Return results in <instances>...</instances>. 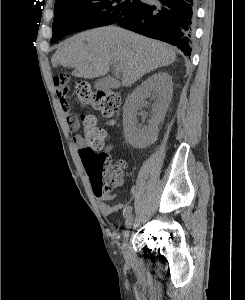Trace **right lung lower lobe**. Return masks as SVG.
I'll use <instances>...</instances> for the list:
<instances>
[{
    "instance_id": "98d812e1",
    "label": "right lung lower lobe",
    "mask_w": 245,
    "mask_h": 300,
    "mask_svg": "<svg viewBox=\"0 0 245 300\" xmlns=\"http://www.w3.org/2000/svg\"><path fill=\"white\" fill-rule=\"evenodd\" d=\"M195 20V0H146L129 15L115 23L119 26L177 46L185 55L192 50ZM57 28L64 34L74 31L65 21H58ZM73 28V29H72Z\"/></svg>"
}]
</instances>
